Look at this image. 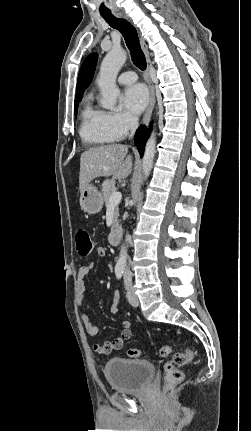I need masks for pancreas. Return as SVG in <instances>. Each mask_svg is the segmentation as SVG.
<instances>
[{
	"mask_svg": "<svg viewBox=\"0 0 251 431\" xmlns=\"http://www.w3.org/2000/svg\"><path fill=\"white\" fill-rule=\"evenodd\" d=\"M117 191V187L115 185V181L113 179H108L105 180L102 184V195H103V199L105 201L106 206H108L110 204V196L112 193ZM119 216V208L118 206L115 207L114 209V214H113V224H112V230H114L115 228L118 227V220L117 217Z\"/></svg>",
	"mask_w": 251,
	"mask_h": 431,
	"instance_id": "1",
	"label": "pancreas"
}]
</instances>
